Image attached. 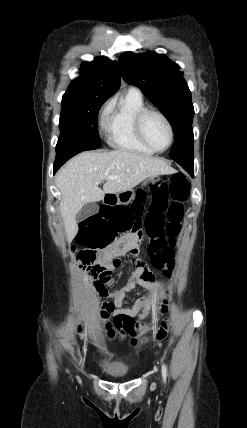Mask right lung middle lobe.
Returning a JSON list of instances; mask_svg holds the SVG:
<instances>
[{
  "label": "right lung middle lobe",
  "mask_w": 247,
  "mask_h": 428,
  "mask_svg": "<svg viewBox=\"0 0 247 428\" xmlns=\"http://www.w3.org/2000/svg\"><path fill=\"white\" fill-rule=\"evenodd\" d=\"M107 99L86 93L63 95L56 153L82 152L100 146L97 118L99 109Z\"/></svg>",
  "instance_id": "obj_1"
}]
</instances>
